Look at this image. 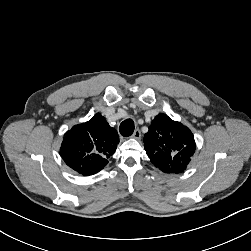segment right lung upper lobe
<instances>
[{
  "instance_id": "right-lung-upper-lobe-1",
  "label": "right lung upper lobe",
  "mask_w": 251,
  "mask_h": 251,
  "mask_svg": "<svg viewBox=\"0 0 251 251\" xmlns=\"http://www.w3.org/2000/svg\"><path fill=\"white\" fill-rule=\"evenodd\" d=\"M118 143L117 131L97 113L91 120L66 132L60 154L69 167L88 176L104 168Z\"/></svg>"
}]
</instances>
